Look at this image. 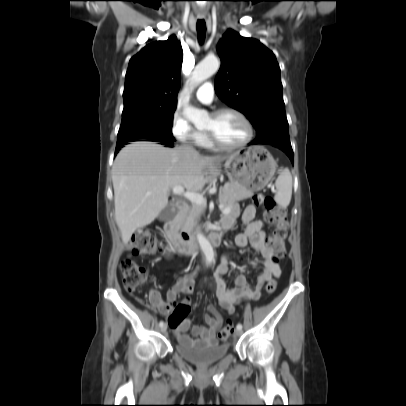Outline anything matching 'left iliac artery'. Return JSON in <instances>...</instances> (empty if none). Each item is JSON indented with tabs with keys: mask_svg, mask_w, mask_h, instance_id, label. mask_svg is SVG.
I'll use <instances>...</instances> for the list:
<instances>
[{
	"mask_svg": "<svg viewBox=\"0 0 406 406\" xmlns=\"http://www.w3.org/2000/svg\"><path fill=\"white\" fill-rule=\"evenodd\" d=\"M236 328L241 330V329H242V325H241L240 323H238L237 326H236Z\"/></svg>",
	"mask_w": 406,
	"mask_h": 406,
	"instance_id": "left-iliac-artery-1",
	"label": "left iliac artery"
}]
</instances>
